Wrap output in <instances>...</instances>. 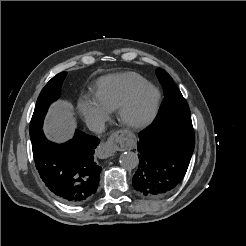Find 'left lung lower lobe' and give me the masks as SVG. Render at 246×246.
I'll list each match as a JSON object with an SVG mask.
<instances>
[{"label": "left lung lower lobe", "mask_w": 246, "mask_h": 246, "mask_svg": "<svg viewBox=\"0 0 246 246\" xmlns=\"http://www.w3.org/2000/svg\"><path fill=\"white\" fill-rule=\"evenodd\" d=\"M194 145L191 121H153L139 133L136 191L151 198L168 194L185 176Z\"/></svg>", "instance_id": "1"}]
</instances>
